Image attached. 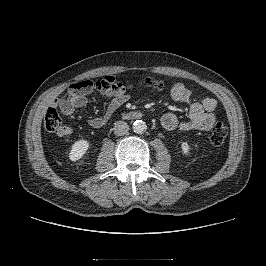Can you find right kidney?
Returning <instances> with one entry per match:
<instances>
[{"instance_id":"obj_1","label":"right kidney","mask_w":266,"mask_h":266,"mask_svg":"<svg viewBox=\"0 0 266 266\" xmlns=\"http://www.w3.org/2000/svg\"><path fill=\"white\" fill-rule=\"evenodd\" d=\"M89 148V142L87 140L76 141L69 152V159L73 162L81 159Z\"/></svg>"}]
</instances>
